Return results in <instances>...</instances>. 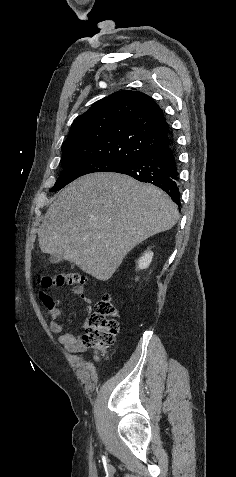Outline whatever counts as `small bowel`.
<instances>
[{"label":"small bowel","instance_id":"small-bowel-1","mask_svg":"<svg viewBox=\"0 0 236 477\" xmlns=\"http://www.w3.org/2000/svg\"><path fill=\"white\" fill-rule=\"evenodd\" d=\"M70 296H79L82 302L86 305L89 315L92 311L91 300L82 293L80 289H73L70 292ZM41 300L51 315V331L54 333H61L63 330V316L61 307L65 300H55L48 295L41 294ZM84 329L87 328V321L83 325ZM84 334L75 335L72 333L60 334L59 342L72 353H81L86 350V345L83 341Z\"/></svg>","mask_w":236,"mask_h":477}]
</instances>
